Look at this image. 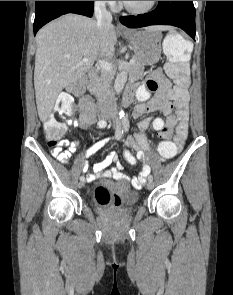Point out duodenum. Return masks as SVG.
Listing matches in <instances>:
<instances>
[{"instance_id": "duodenum-1", "label": "duodenum", "mask_w": 233, "mask_h": 295, "mask_svg": "<svg viewBox=\"0 0 233 295\" xmlns=\"http://www.w3.org/2000/svg\"><path fill=\"white\" fill-rule=\"evenodd\" d=\"M96 76H97V70L92 69L89 72L90 79L94 80L96 78ZM133 94H134V90L131 87H129L126 91L127 97L130 99L133 97ZM98 113H99V116L102 118H106L108 116L107 104H106V100L104 98L99 99Z\"/></svg>"}]
</instances>
